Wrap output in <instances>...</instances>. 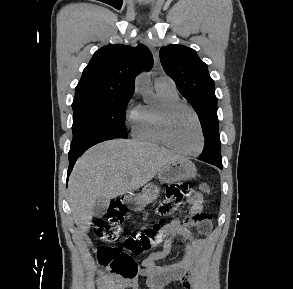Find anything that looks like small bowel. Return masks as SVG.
Returning <instances> with one entry per match:
<instances>
[{"mask_svg": "<svg viewBox=\"0 0 293 289\" xmlns=\"http://www.w3.org/2000/svg\"><path fill=\"white\" fill-rule=\"evenodd\" d=\"M191 208L185 224L179 218L173 219L162 229L161 236L156 245L162 244V249L152 251L143 259L139 276L144 278L147 289H166L172 282H179L184 289H192L196 263L205 249V241L193 232V227L198 226L199 232L207 236L211 230L209 215L203 214L204 198L199 193L189 196ZM174 243L184 245L183 259L171 265H157L168 257ZM121 287L139 289L137 279L124 281Z\"/></svg>", "mask_w": 293, "mask_h": 289, "instance_id": "obj_1", "label": "small bowel"}]
</instances>
